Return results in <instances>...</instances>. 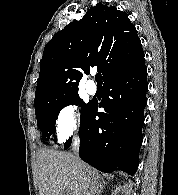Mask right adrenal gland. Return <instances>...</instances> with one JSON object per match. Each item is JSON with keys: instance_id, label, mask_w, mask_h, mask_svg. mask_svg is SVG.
Instances as JSON below:
<instances>
[{"instance_id": "obj_1", "label": "right adrenal gland", "mask_w": 178, "mask_h": 195, "mask_svg": "<svg viewBox=\"0 0 178 195\" xmlns=\"http://www.w3.org/2000/svg\"><path fill=\"white\" fill-rule=\"evenodd\" d=\"M105 185L106 182L103 179H101L98 183V195H100Z\"/></svg>"}]
</instances>
